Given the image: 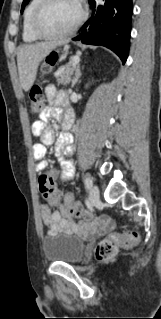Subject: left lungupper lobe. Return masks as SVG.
<instances>
[{
    "instance_id": "5c2ea615",
    "label": "left lung upper lobe",
    "mask_w": 161,
    "mask_h": 319,
    "mask_svg": "<svg viewBox=\"0 0 161 319\" xmlns=\"http://www.w3.org/2000/svg\"><path fill=\"white\" fill-rule=\"evenodd\" d=\"M29 1H30V0H24V1H23L21 12L24 10L25 5H26Z\"/></svg>"
}]
</instances>
